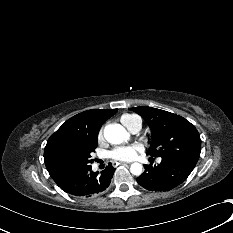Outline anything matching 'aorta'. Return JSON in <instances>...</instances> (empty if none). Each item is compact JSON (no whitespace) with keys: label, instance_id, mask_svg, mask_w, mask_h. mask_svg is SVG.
<instances>
[{"label":"aorta","instance_id":"1","mask_svg":"<svg viewBox=\"0 0 233 233\" xmlns=\"http://www.w3.org/2000/svg\"><path fill=\"white\" fill-rule=\"evenodd\" d=\"M104 137L110 144H121L127 142L130 138L129 133L120 124H109L104 128ZM143 166L135 162L130 166V172L133 175H141Z\"/></svg>","mask_w":233,"mask_h":233}]
</instances>
